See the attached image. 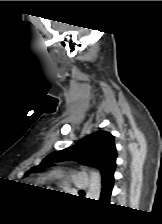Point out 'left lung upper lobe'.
I'll return each mask as SVG.
<instances>
[{
	"instance_id": "5c2ea615",
	"label": "left lung upper lobe",
	"mask_w": 162,
	"mask_h": 224,
	"mask_svg": "<svg viewBox=\"0 0 162 224\" xmlns=\"http://www.w3.org/2000/svg\"><path fill=\"white\" fill-rule=\"evenodd\" d=\"M117 151L112 134L98 131L78 141L74 146L49 154L32 170L48 167V163L64 160H77L100 170L102 181L115 171ZM29 172H27L28 174Z\"/></svg>"
}]
</instances>
